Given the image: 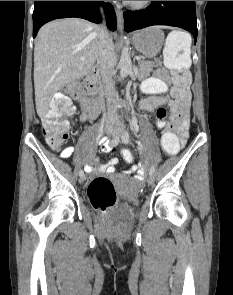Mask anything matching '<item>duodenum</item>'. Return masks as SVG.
<instances>
[{"mask_svg":"<svg viewBox=\"0 0 233 295\" xmlns=\"http://www.w3.org/2000/svg\"><path fill=\"white\" fill-rule=\"evenodd\" d=\"M99 70L93 68L86 77V86L81 99V107L91 115H96L100 110L101 94L97 85Z\"/></svg>","mask_w":233,"mask_h":295,"instance_id":"410a0bca","label":"duodenum"}]
</instances>
